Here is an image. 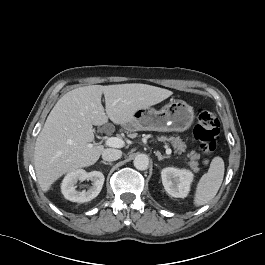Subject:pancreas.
<instances>
[{
  "mask_svg": "<svg viewBox=\"0 0 265 265\" xmlns=\"http://www.w3.org/2000/svg\"><path fill=\"white\" fill-rule=\"evenodd\" d=\"M158 140L164 143L170 142L175 150V153L181 154L182 152L186 151V144L182 141V139H180V137L161 136L158 138ZM187 157L190 160L187 162L188 166L191 168V170L197 173L200 170L198 167L199 163L197 161L200 158V154L196 153L195 151H191L187 154Z\"/></svg>",
  "mask_w": 265,
  "mask_h": 265,
  "instance_id": "obj_1",
  "label": "pancreas"
}]
</instances>
